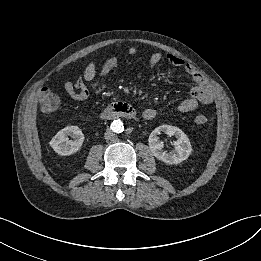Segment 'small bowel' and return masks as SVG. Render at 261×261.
Segmentation results:
<instances>
[{"label":"small bowel","mask_w":261,"mask_h":261,"mask_svg":"<svg viewBox=\"0 0 261 261\" xmlns=\"http://www.w3.org/2000/svg\"><path fill=\"white\" fill-rule=\"evenodd\" d=\"M129 55H135L136 49L130 48L128 50ZM165 58L174 65H184L185 71L192 78V80L196 83L201 82L206 77L203 72L200 71L196 66L192 64H184L183 60L180 58L173 56L172 54H167ZM162 60V55L160 53H153L149 58V71L152 72L154 68L160 63ZM119 59L117 57H111L107 59L102 65L97 66L94 63H89L85 70L83 79L76 81L75 83L66 82L64 84V90L67 95L76 101L86 100L89 96V91L85 82H92L98 77L107 75L110 71L116 68L119 65ZM105 86H98L96 83L93 84V88L95 92L98 94ZM45 91L47 89H44ZM214 98V90L212 85L208 82L205 86L200 89V91L196 95L190 94L189 97L185 98L180 105L178 106L179 112L185 113L195 110L200 104H209L213 101ZM156 110L154 109H145L143 111V117L146 120H151L155 118Z\"/></svg>","instance_id":"small-bowel-1"}]
</instances>
